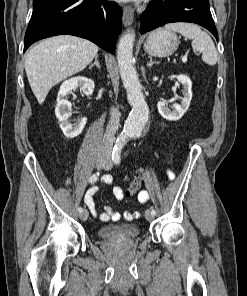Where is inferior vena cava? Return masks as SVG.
I'll return each instance as SVG.
<instances>
[{"label": "inferior vena cava", "instance_id": "inferior-vena-cava-1", "mask_svg": "<svg viewBox=\"0 0 247 296\" xmlns=\"http://www.w3.org/2000/svg\"><path fill=\"white\" fill-rule=\"evenodd\" d=\"M119 117H120V114L118 109L112 108L110 112V120L107 125L106 131L101 143V147H100L101 152H106V151L110 152L112 150L115 133L119 127V121H120Z\"/></svg>", "mask_w": 247, "mask_h": 296}]
</instances>
